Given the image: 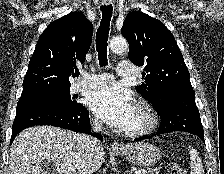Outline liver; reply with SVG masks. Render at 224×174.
<instances>
[{
    "label": "liver",
    "instance_id": "liver-1",
    "mask_svg": "<svg viewBox=\"0 0 224 174\" xmlns=\"http://www.w3.org/2000/svg\"><path fill=\"white\" fill-rule=\"evenodd\" d=\"M81 136L53 126L23 130L10 148L8 174H49L42 168L44 161L54 164L53 174H92L104 161V148L88 152Z\"/></svg>",
    "mask_w": 224,
    "mask_h": 174
}]
</instances>
